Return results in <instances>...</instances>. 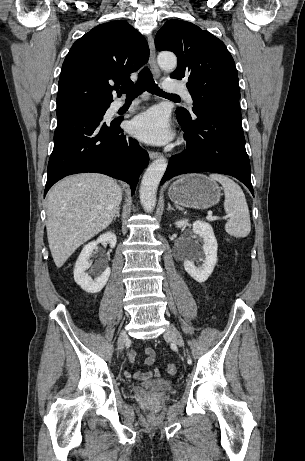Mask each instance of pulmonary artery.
<instances>
[{
    "label": "pulmonary artery",
    "mask_w": 305,
    "mask_h": 461,
    "mask_svg": "<svg viewBox=\"0 0 305 461\" xmlns=\"http://www.w3.org/2000/svg\"><path fill=\"white\" fill-rule=\"evenodd\" d=\"M164 87L166 91L168 92L181 94L184 97L185 101L189 105H192V102H193L192 97L183 85L174 83L172 79H167ZM122 105H123L122 101H116L114 103V109H119Z\"/></svg>",
    "instance_id": "pulmonary-artery-1"
}]
</instances>
